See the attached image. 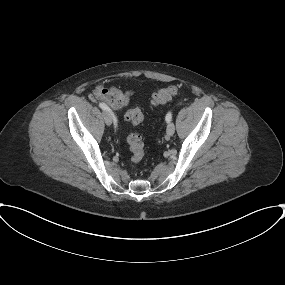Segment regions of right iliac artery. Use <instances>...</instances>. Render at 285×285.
Returning a JSON list of instances; mask_svg holds the SVG:
<instances>
[{
    "instance_id": "right-iliac-artery-1",
    "label": "right iliac artery",
    "mask_w": 285,
    "mask_h": 285,
    "mask_svg": "<svg viewBox=\"0 0 285 285\" xmlns=\"http://www.w3.org/2000/svg\"><path fill=\"white\" fill-rule=\"evenodd\" d=\"M99 107L102 108L103 110H108L109 112H111L109 107L104 103H99ZM111 114H112V112H111ZM115 122H116V120H115Z\"/></svg>"
}]
</instances>
